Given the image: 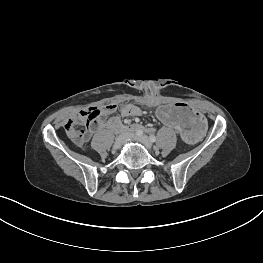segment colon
<instances>
[{"mask_svg":"<svg viewBox=\"0 0 263 263\" xmlns=\"http://www.w3.org/2000/svg\"><path fill=\"white\" fill-rule=\"evenodd\" d=\"M148 101L153 102V96H148ZM115 105H108L104 109L91 108L80 112V116L69 119L64 124V130L68 137L76 144H83L87 140L89 129H94L104 114L110 113ZM84 125V127H83Z\"/></svg>","mask_w":263,"mask_h":263,"instance_id":"colon-1","label":"colon"}]
</instances>
